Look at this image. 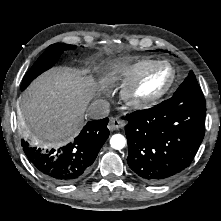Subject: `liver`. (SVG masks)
Returning a JSON list of instances; mask_svg holds the SVG:
<instances>
[{
	"instance_id": "obj_1",
	"label": "liver",
	"mask_w": 221,
	"mask_h": 221,
	"mask_svg": "<svg viewBox=\"0 0 221 221\" xmlns=\"http://www.w3.org/2000/svg\"><path fill=\"white\" fill-rule=\"evenodd\" d=\"M112 80L105 75L96 82L86 71L69 67L43 73L20 99L17 113L23 133L35 142L73 139L84 125L89 102L105 92Z\"/></svg>"
}]
</instances>
